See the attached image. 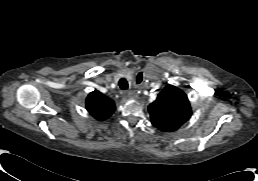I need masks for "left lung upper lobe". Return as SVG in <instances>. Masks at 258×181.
<instances>
[{"instance_id": "1", "label": "left lung upper lobe", "mask_w": 258, "mask_h": 181, "mask_svg": "<svg viewBox=\"0 0 258 181\" xmlns=\"http://www.w3.org/2000/svg\"><path fill=\"white\" fill-rule=\"evenodd\" d=\"M152 124L161 131L177 130L191 116L186 94L175 86L167 85L157 99L148 106Z\"/></svg>"}]
</instances>
